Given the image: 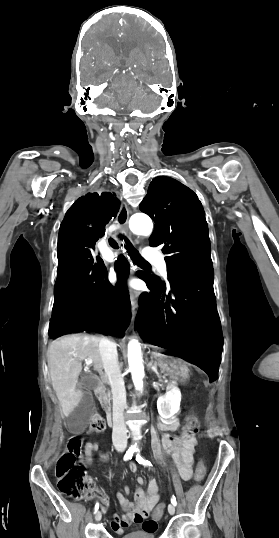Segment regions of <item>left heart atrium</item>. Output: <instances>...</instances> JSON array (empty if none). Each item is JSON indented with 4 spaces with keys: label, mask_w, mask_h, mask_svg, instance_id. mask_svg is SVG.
Here are the masks:
<instances>
[{
    "label": "left heart atrium",
    "mask_w": 279,
    "mask_h": 538,
    "mask_svg": "<svg viewBox=\"0 0 279 538\" xmlns=\"http://www.w3.org/2000/svg\"><path fill=\"white\" fill-rule=\"evenodd\" d=\"M112 282H113L114 284L119 285V283H120V279H119L117 276H112Z\"/></svg>",
    "instance_id": "1"
}]
</instances>
